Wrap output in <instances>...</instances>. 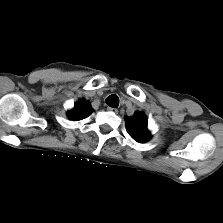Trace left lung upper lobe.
Masks as SVG:
<instances>
[{
	"mask_svg": "<svg viewBox=\"0 0 223 223\" xmlns=\"http://www.w3.org/2000/svg\"><path fill=\"white\" fill-rule=\"evenodd\" d=\"M148 123L145 121V116L142 112H136L134 117H126V131L137 142H146L151 134L147 129Z\"/></svg>",
	"mask_w": 223,
	"mask_h": 223,
	"instance_id": "obj_1",
	"label": "left lung upper lobe"
}]
</instances>
